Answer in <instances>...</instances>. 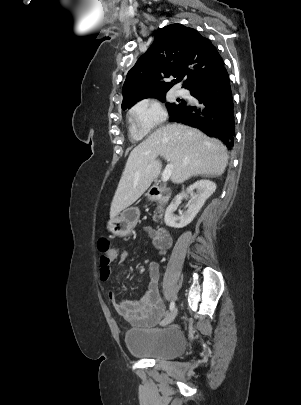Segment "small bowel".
<instances>
[{
  "instance_id": "c3829d8e",
  "label": "small bowel",
  "mask_w": 301,
  "mask_h": 405,
  "mask_svg": "<svg viewBox=\"0 0 301 405\" xmlns=\"http://www.w3.org/2000/svg\"><path fill=\"white\" fill-rule=\"evenodd\" d=\"M145 231L153 239H156L157 232L150 227L145 228ZM170 246V245H169ZM158 247L161 254H164L168 247ZM125 254L112 248L106 258L100 259L99 276L102 281H107L111 274V264L114 262L123 263ZM149 284L147 289L137 301H129L126 299H118L113 290H108L107 295L112 302L117 313L128 323L137 327H150L165 313V304L160 297L158 291L159 269L156 262H152L148 267Z\"/></svg>"
}]
</instances>
